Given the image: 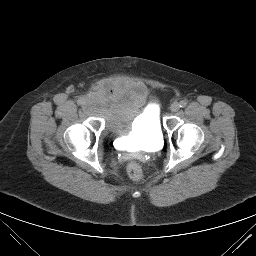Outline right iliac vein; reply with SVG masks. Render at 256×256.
I'll list each match as a JSON object with an SVG mask.
<instances>
[{"label":"right iliac vein","mask_w":256,"mask_h":256,"mask_svg":"<svg viewBox=\"0 0 256 256\" xmlns=\"http://www.w3.org/2000/svg\"><path fill=\"white\" fill-rule=\"evenodd\" d=\"M84 106H85L86 108H89V107L91 106V103H90L89 101H86V102L84 103Z\"/></svg>","instance_id":"63e3f726"}]
</instances>
